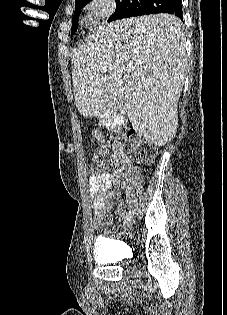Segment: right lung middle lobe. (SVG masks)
<instances>
[{
	"label": "right lung middle lobe",
	"mask_w": 227,
	"mask_h": 315,
	"mask_svg": "<svg viewBox=\"0 0 227 315\" xmlns=\"http://www.w3.org/2000/svg\"><path fill=\"white\" fill-rule=\"evenodd\" d=\"M90 1L91 0H76L75 1V12L72 19V28H71L72 35L77 30L78 19H79L81 8ZM143 1L144 0H116V10L114 14L108 19V22L119 19L123 9L127 8L128 6L137 7L140 4H142Z\"/></svg>",
	"instance_id": "obj_1"
}]
</instances>
